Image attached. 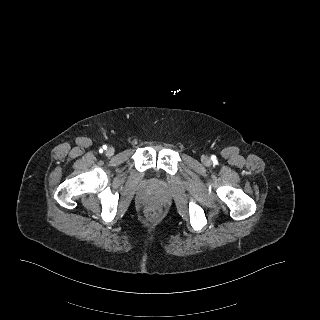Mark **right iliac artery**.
<instances>
[{
  "instance_id": "right-iliac-artery-1",
  "label": "right iliac artery",
  "mask_w": 320,
  "mask_h": 320,
  "mask_svg": "<svg viewBox=\"0 0 320 320\" xmlns=\"http://www.w3.org/2000/svg\"><path fill=\"white\" fill-rule=\"evenodd\" d=\"M107 149V146H103L101 149V152H103V150Z\"/></svg>"
}]
</instances>
